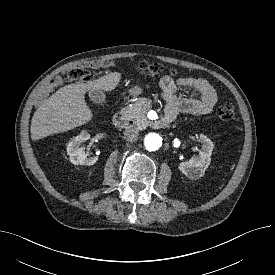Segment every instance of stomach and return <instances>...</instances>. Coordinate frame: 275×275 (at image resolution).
Segmentation results:
<instances>
[{
  "instance_id": "obj_1",
  "label": "stomach",
  "mask_w": 275,
  "mask_h": 275,
  "mask_svg": "<svg viewBox=\"0 0 275 275\" xmlns=\"http://www.w3.org/2000/svg\"><path fill=\"white\" fill-rule=\"evenodd\" d=\"M142 93V89L139 87H135L129 90V94L132 96H137Z\"/></svg>"
}]
</instances>
